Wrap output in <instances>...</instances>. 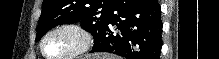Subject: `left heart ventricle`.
Returning a JSON list of instances; mask_svg holds the SVG:
<instances>
[{
  "instance_id": "obj_1",
  "label": "left heart ventricle",
  "mask_w": 219,
  "mask_h": 59,
  "mask_svg": "<svg viewBox=\"0 0 219 59\" xmlns=\"http://www.w3.org/2000/svg\"><path fill=\"white\" fill-rule=\"evenodd\" d=\"M80 44V38L71 31H58L48 37L45 52L51 57H62L73 52Z\"/></svg>"
}]
</instances>
